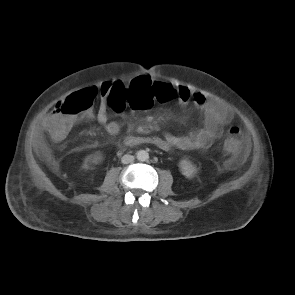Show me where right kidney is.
I'll use <instances>...</instances> for the list:
<instances>
[{
	"mask_svg": "<svg viewBox=\"0 0 295 295\" xmlns=\"http://www.w3.org/2000/svg\"><path fill=\"white\" fill-rule=\"evenodd\" d=\"M101 160H102V157L100 155H94V156L88 157L85 159L84 168H88L86 165L88 162L98 164L101 162Z\"/></svg>",
	"mask_w": 295,
	"mask_h": 295,
	"instance_id": "ca27d5eb",
	"label": "right kidney"
}]
</instances>
